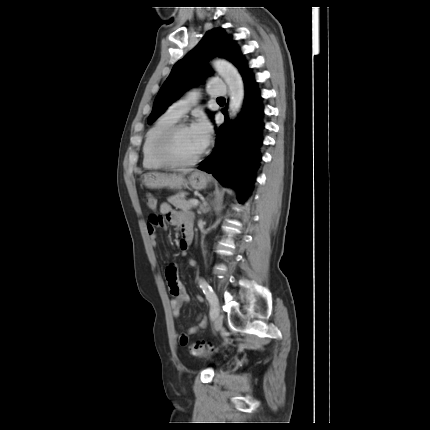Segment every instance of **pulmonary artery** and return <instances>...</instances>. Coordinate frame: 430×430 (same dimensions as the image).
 <instances>
[{"instance_id": "1", "label": "pulmonary artery", "mask_w": 430, "mask_h": 430, "mask_svg": "<svg viewBox=\"0 0 430 430\" xmlns=\"http://www.w3.org/2000/svg\"><path fill=\"white\" fill-rule=\"evenodd\" d=\"M208 93L211 96H224L227 94V87L222 81L212 79L208 83ZM198 99L199 90L197 88H193L189 90L183 97L172 103L168 111L180 118L197 103Z\"/></svg>"}]
</instances>
